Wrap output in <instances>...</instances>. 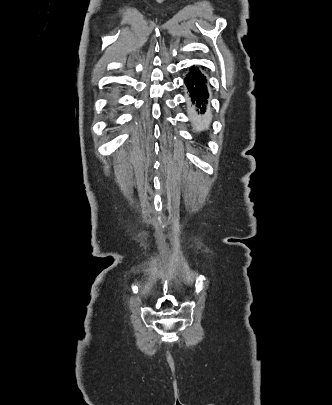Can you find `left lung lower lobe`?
Wrapping results in <instances>:
<instances>
[{"label": "left lung lower lobe", "mask_w": 332, "mask_h": 405, "mask_svg": "<svg viewBox=\"0 0 332 405\" xmlns=\"http://www.w3.org/2000/svg\"><path fill=\"white\" fill-rule=\"evenodd\" d=\"M185 84L190 93V117L192 124L196 129L201 130L211 121V114L207 106L209 93L206 77L199 69L193 66L185 78Z\"/></svg>", "instance_id": "1"}]
</instances>
